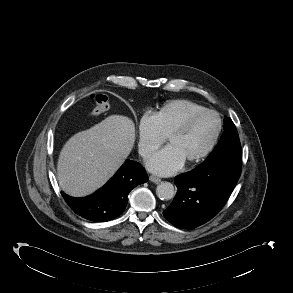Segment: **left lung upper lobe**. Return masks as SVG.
Masks as SVG:
<instances>
[{
	"label": "left lung upper lobe",
	"mask_w": 293,
	"mask_h": 293,
	"mask_svg": "<svg viewBox=\"0 0 293 293\" xmlns=\"http://www.w3.org/2000/svg\"><path fill=\"white\" fill-rule=\"evenodd\" d=\"M235 147H241L237 129L230 117L224 118V133L212 153L202 164H211L220 161L223 154Z\"/></svg>",
	"instance_id": "left-lung-upper-lobe-1"
}]
</instances>
